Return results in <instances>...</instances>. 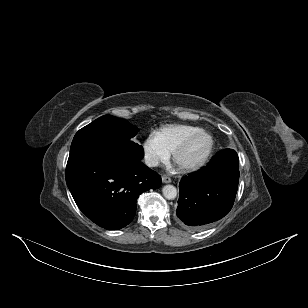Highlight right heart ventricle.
I'll use <instances>...</instances> for the list:
<instances>
[{
  "mask_svg": "<svg viewBox=\"0 0 308 308\" xmlns=\"http://www.w3.org/2000/svg\"><path fill=\"white\" fill-rule=\"evenodd\" d=\"M200 129L192 125H167L157 130L154 136L169 153H173L188 136Z\"/></svg>",
  "mask_w": 308,
  "mask_h": 308,
  "instance_id": "e07e8e85",
  "label": "right heart ventricle"
}]
</instances>
